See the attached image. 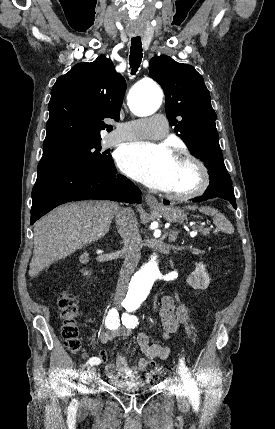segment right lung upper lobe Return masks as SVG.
Instances as JSON below:
<instances>
[{
  "label": "right lung upper lobe",
  "mask_w": 275,
  "mask_h": 429,
  "mask_svg": "<svg viewBox=\"0 0 275 429\" xmlns=\"http://www.w3.org/2000/svg\"><path fill=\"white\" fill-rule=\"evenodd\" d=\"M125 90V79L104 56L60 76L51 90L43 156L100 141V130L112 129L103 119L119 120Z\"/></svg>",
  "instance_id": "obj_1"
}]
</instances>
